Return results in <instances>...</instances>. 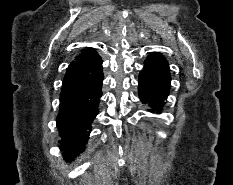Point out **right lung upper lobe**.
<instances>
[{"mask_svg": "<svg viewBox=\"0 0 233 185\" xmlns=\"http://www.w3.org/2000/svg\"><path fill=\"white\" fill-rule=\"evenodd\" d=\"M99 55L93 49H87L81 55L77 56L76 59H98Z\"/></svg>", "mask_w": 233, "mask_h": 185, "instance_id": "cb5924a9", "label": "right lung upper lobe"}]
</instances>
